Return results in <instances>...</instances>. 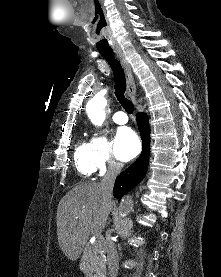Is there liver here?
<instances>
[{"label":"liver","mask_w":221,"mask_h":277,"mask_svg":"<svg viewBox=\"0 0 221 277\" xmlns=\"http://www.w3.org/2000/svg\"><path fill=\"white\" fill-rule=\"evenodd\" d=\"M113 207L99 183L75 186L59 202L57 209V236L63 254L77 260L90 233H100L107 225Z\"/></svg>","instance_id":"1"}]
</instances>
